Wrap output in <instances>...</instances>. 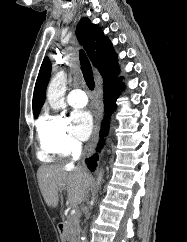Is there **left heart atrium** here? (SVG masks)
<instances>
[{"mask_svg":"<svg viewBox=\"0 0 187 242\" xmlns=\"http://www.w3.org/2000/svg\"><path fill=\"white\" fill-rule=\"evenodd\" d=\"M72 120L75 135L81 140H86L94 127L92 114L87 110H77L72 113Z\"/></svg>","mask_w":187,"mask_h":242,"instance_id":"left-heart-atrium-1","label":"left heart atrium"}]
</instances>
